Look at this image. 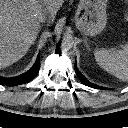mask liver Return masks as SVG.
<instances>
[{"instance_id": "1", "label": "liver", "mask_w": 128, "mask_h": 128, "mask_svg": "<svg viewBox=\"0 0 128 128\" xmlns=\"http://www.w3.org/2000/svg\"><path fill=\"white\" fill-rule=\"evenodd\" d=\"M63 0H0V69L26 55L40 29L38 16L55 19Z\"/></svg>"}]
</instances>
